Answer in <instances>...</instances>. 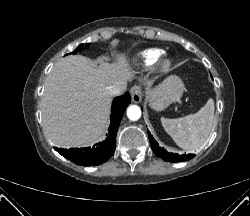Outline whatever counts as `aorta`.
Here are the masks:
<instances>
[{"instance_id":"obj_1","label":"aorta","mask_w":250,"mask_h":216,"mask_svg":"<svg viewBox=\"0 0 250 216\" xmlns=\"http://www.w3.org/2000/svg\"><path fill=\"white\" fill-rule=\"evenodd\" d=\"M127 116L132 121H137L141 117V109L137 105H131L127 109Z\"/></svg>"}]
</instances>
